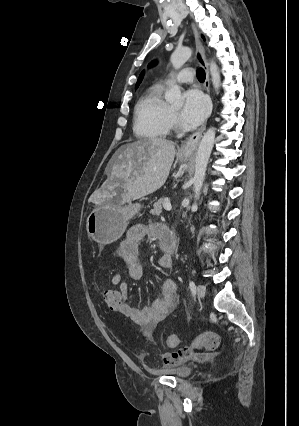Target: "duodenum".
Wrapping results in <instances>:
<instances>
[{"label": "duodenum", "instance_id": "duodenum-1", "mask_svg": "<svg viewBox=\"0 0 299 426\" xmlns=\"http://www.w3.org/2000/svg\"><path fill=\"white\" fill-rule=\"evenodd\" d=\"M160 248L169 256H171L176 249V236L173 231L166 227H164L161 232Z\"/></svg>", "mask_w": 299, "mask_h": 426}]
</instances>
